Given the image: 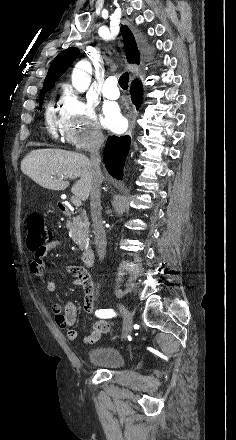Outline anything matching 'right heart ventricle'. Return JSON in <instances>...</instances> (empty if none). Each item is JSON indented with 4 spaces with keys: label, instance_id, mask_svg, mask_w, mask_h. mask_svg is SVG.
Wrapping results in <instances>:
<instances>
[{
    "label": "right heart ventricle",
    "instance_id": "e07e8e85",
    "mask_svg": "<svg viewBox=\"0 0 236 440\" xmlns=\"http://www.w3.org/2000/svg\"><path fill=\"white\" fill-rule=\"evenodd\" d=\"M45 123L47 130L51 136H56V126L58 121L55 117V113L52 105H49L45 112Z\"/></svg>",
    "mask_w": 236,
    "mask_h": 440
}]
</instances>
